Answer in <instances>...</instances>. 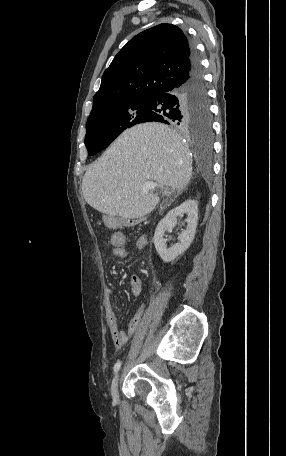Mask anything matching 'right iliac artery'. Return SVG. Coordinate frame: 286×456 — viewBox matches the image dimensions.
Returning a JSON list of instances; mask_svg holds the SVG:
<instances>
[{"mask_svg":"<svg viewBox=\"0 0 286 456\" xmlns=\"http://www.w3.org/2000/svg\"><path fill=\"white\" fill-rule=\"evenodd\" d=\"M121 367V361H117L116 364L114 365V372L117 373L118 370L120 369Z\"/></svg>","mask_w":286,"mask_h":456,"instance_id":"82829eb1","label":"right iliac artery"}]
</instances>
